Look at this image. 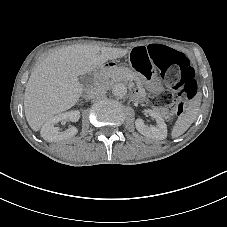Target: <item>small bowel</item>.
<instances>
[{
	"mask_svg": "<svg viewBox=\"0 0 227 227\" xmlns=\"http://www.w3.org/2000/svg\"><path fill=\"white\" fill-rule=\"evenodd\" d=\"M134 50H136V51H139V52H142L143 54H146V56L148 57V59H149V46H141V47H137V48H135ZM149 61H150V59H149Z\"/></svg>",
	"mask_w": 227,
	"mask_h": 227,
	"instance_id": "small-bowel-1",
	"label": "small bowel"
}]
</instances>
